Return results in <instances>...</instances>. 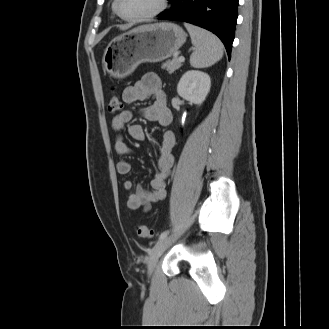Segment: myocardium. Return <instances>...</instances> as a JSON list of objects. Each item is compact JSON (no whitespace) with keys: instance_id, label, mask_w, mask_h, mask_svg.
<instances>
[{"instance_id":"myocardium-1","label":"myocardium","mask_w":329,"mask_h":329,"mask_svg":"<svg viewBox=\"0 0 329 329\" xmlns=\"http://www.w3.org/2000/svg\"><path fill=\"white\" fill-rule=\"evenodd\" d=\"M119 2L120 0H114V12L123 20L125 21H129V22H140V21H145V20H149L152 19L158 15H160L163 11H165V9L168 6V0H160L159 6L152 12L145 14V15H141V16H135V17H127L124 16L119 9Z\"/></svg>"}]
</instances>
